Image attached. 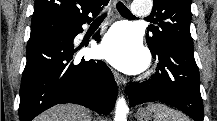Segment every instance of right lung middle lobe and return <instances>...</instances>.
Masks as SVG:
<instances>
[{"instance_id": "obj_1", "label": "right lung middle lobe", "mask_w": 217, "mask_h": 121, "mask_svg": "<svg viewBox=\"0 0 217 121\" xmlns=\"http://www.w3.org/2000/svg\"><path fill=\"white\" fill-rule=\"evenodd\" d=\"M74 24L65 23L57 20H43L31 23L30 38L47 34L50 32L69 30L73 28Z\"/></svg>"}]
</instances>
